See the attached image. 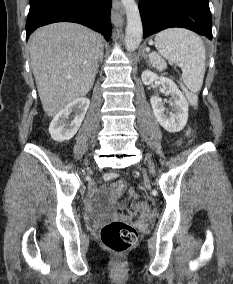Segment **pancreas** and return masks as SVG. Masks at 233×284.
<instances>
[{
  "label": "pancreas",
  "instance_id": "cf45deb5",
  "mask_svg": "<svg viewBox=\"0 0 233 284\" xmlns=\"http://www.w3.org/2000/svg\"><path fill=\"white\" fill-rule=\"evenodd\" d=\"M153 65L157 69H164L166 67L165 62L158 55H156V60L153 62Z\"/></svg>",
  "mask_w": 233,
  "mask_h": 284
}]
</instances>
